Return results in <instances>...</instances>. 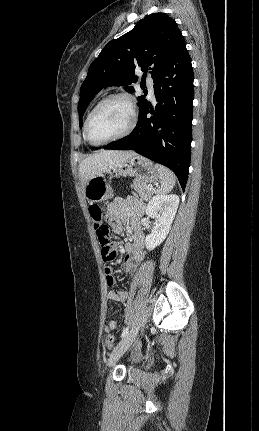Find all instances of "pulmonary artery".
Instances as JSON below:
<instances>
[{
    "mask_svg": "<svg viewBox=\"0 0 259 431\" xmlns=\"http://www.w3.org/2000/svg\"><path fill=\"white\" fill-rule=\"evenodd\" d=\"M147 84H148V92H149V96L151 98H154V81L152 78H148L147 79Z\"/></svg>",
    "mask_w": 259,
    "mask_h": 431,
    "instance_id": "1",
    "label": "pulmonary artery"
}]
</instances>
